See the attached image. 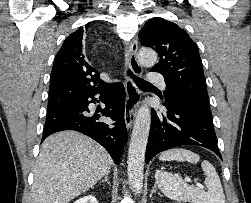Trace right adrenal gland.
<instances>
[{
    "label": "right adrenal gland",
    "instance_id": "2a0ac1e0",
    "mask_svg": "<svg viewBox=\"0 0 251 203\" xmlns=\"http://www.w3.org/2000/svg\"><path fill=\"white\" fill-rule=\"evenodd\" d=\"M103 182H107V184L110 185V182H109V173H107V174L105 175L104 179L101 181V183H103Z\"/></svg>",
    "mask_w": 251,
    "mask_h": 203
}]
</instances>
